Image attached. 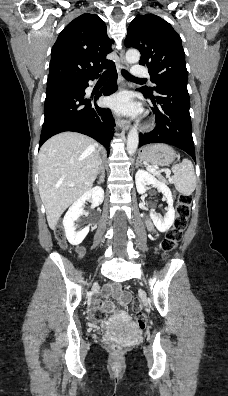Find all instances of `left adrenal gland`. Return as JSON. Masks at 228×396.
<instances>
[{"label": "left adrenal gland", "instance_id": "left-adrenal-gland-1", "mask_svg": "<svg viewBox=\"0 0 228 396\" xmlns=\"http://www.w3.org/2000/svg\"><path fill=\"white\" fill-rule=\"evenodd\" d=\"M138 166H142V164L139 160H137V163H136V167H138Z\"/></svg>", "mask_w": 228, "mask_h": 396}]
</instances>
